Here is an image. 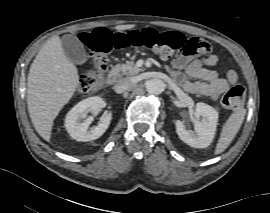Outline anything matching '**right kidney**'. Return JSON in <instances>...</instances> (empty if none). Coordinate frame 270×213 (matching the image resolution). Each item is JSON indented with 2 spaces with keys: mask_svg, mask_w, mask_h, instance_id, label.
Segmentation results:
<instances>
[{
  "mask_svg": "<svg viewBox=\"0 0 270 213\" xmlns=\"http://www.w3.org/2000/svg\"><path fill=\"white\" fill-rule=\"evenodd\" d=\"M105 105V101L98 96L89 97L76 104L68 112L65 119V127L70 136L82 142L95 140L102 136L109 127L111 112H108L105 118L95 127H90L93 117L87 114L89 112L97 113Z\"/></svg>",
  "mask_w": 270,
  "mask_h": 213,
  "instance_id": "ca27d5eb",
  "label": "right kidney"
}]
</instances>
